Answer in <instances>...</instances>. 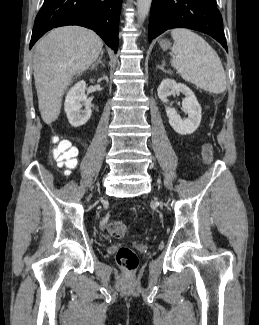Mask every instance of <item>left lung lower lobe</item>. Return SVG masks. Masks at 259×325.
Instances as JSON below:
<instances>
[{
    "mask_svg": "<svg viewBox=\"0 0 259 325\" xmlns=\"http://www.w3.org/2000/svg\"><path fill=\"white\" fill-rule=\"evenodd\" d=\"M172 28H189L209 34L228 51L216 0H153L149 42Z\"/></svg>",
    "mask_w": 259,
    "mask_h": 325,
    "instance_id": "1",
    "label": "left lung lower lobe"
}]
</instances>
